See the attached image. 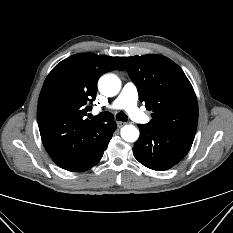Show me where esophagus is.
I'll use <instances>...</instances> for the list:
<instances>
[{
  "label": "esophagus",
  "mask_w": 233,
  "mask_h": 233,
  "mask_svg": "<svg viewBox=\"0 0 233 233\" xmlns=\"http://www.w3.org/2000/svg\"><path fill=\"white\" fill-rule=\"evenodd\" d=\"M116 124H117V127H118V128H121V127L124 126L126 123H125V122H122V121H117Z\"/></svg>",
  "instance_id": "34e87169"
}]
</instances>
